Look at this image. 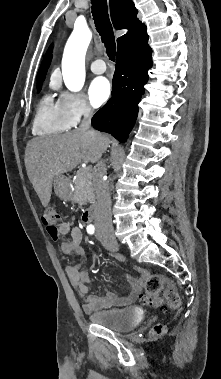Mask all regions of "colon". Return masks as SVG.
<instances>
[{
  "label": "colon",
  "mask_w": 221,
  "mask_h": 379,
  "mask_svg": "<svg viewBox=\"0 0 221 379\" xmlns=\"http://www.w3.org/2000/svg\"><path fill=\"white\" fill-rule=\"evenodd\" d=\"M41 221L47 231L55 234L61 223L60 214L53 207L47 208L41 215ZM145 295L141 297L144 304L152 307H168L178 309L181 306V298L173 281L160 274H152L145 281ZM165 332L161 324H157L151 331V335L158 336Z\"/></svg>",
  "instance_id": "1"
}]
</instances>
